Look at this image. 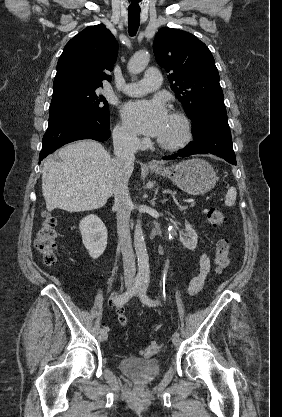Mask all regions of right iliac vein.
I'll return each mask as SVG.
<instances>
[{
  "label": "right iliac vein",
  "instance_id": "right-iliac-vein-1",
  "mask_svg": "<svg viewBox=\"0 0 282 417\" xmlns=\"http://www.w3.org/2000/svg\"><path fill=\"white\" fill-rule=\"evenodd\" d=\"M131 288V285L130 284H127V289H130ZM107 338H108V334H107V332H102V333H100V335H99V339L101 340V341H106L107 340Z\"/></svg>",
  "mask_w": 282,
  "mask_h": 417
}]
</instances>
